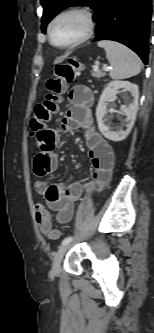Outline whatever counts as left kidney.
<instances>
[{
  "mask_svg": "<svg viewBox=\"0 0 154 333\" xmlns=\"http://www.w3.org/2000/svg\"><path fill=\"white\" fill-rule=\"evenodd\" d=\"M120 89L129 91L133 101L129 105H121V111L126 116L122 126L114 131L111 128V117H106L108 102L116 97ZM139 89L136 84L129 81H111L103 90L96 108V118L100 132L109 140L119 142L124 140L131 132L138 110Z\"/></svg>",
  "mask_w": 154,
  "mask_h": 333,
  "instance_id": "obj_1",
  "label": "left kidney"
}]
</instances>
